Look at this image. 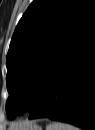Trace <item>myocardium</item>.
<instances>
[{"label": "myocardium", "mask_w": 95, "mask_h": 130, "mask_svg": "<svg viewBox=\"0 0 95 130\" xmlns=\"http://www.w3.org/2000/svg\"><path fill=\"white\" fill-rule=\"evenodd\" d=\"M32 97H33V96H32L31 94H28L25 99H26L27 101H31V100H32Z\"/></svg>", "instance_id": "f54148a6"}]
</instances>
